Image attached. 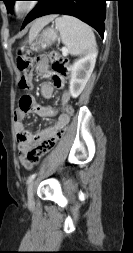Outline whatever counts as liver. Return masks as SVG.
Returning a JSON list of instances; mask_svg holds the SVG:
<instances>
[{
  "instance_id": "liver-1",
  "label": "liver",
  "mask_w": 133,
  "mask_h": 253,
  "mask_svg": "<svg viewBox=\"0 0 133 253\" xmlns=\"http://www.w3.org/2000/svg\"><path fill=\"white\" fill-rule=\"evenodd\" d=\"M56 17V15H47L44 17H41L39 19H37L31 26L30 32H29V38L35 37L40 30L47 25L48 23H50L51 21H53V19Z\"/></svg>"
}]
</instances>
